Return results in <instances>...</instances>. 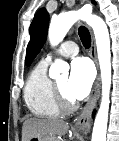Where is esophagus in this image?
Returning <instances> with one entry per match:
<instances>
[{
    "instance_id": "34e87169",
    "label": "esophagus",
    "mask_w": 119,
    "mask_h": 141,
    "mask_svg": "<svg viewBox=\"0 0 119 141\" xmlns=\"http://www.w3.org/2000/svg\"><path fill=\"white\" fill-rule=\"evenodd\" d=\"M91 48H90V57L93 59L98 73L94 85L92 87L90 96L88 98L87 103L85 104L84 108L82 109L80 115L74 120V128L84 134H87L91 128V114L95 107L96 100L100 90V73H99V65L97 60L96 54V44L94 36L91 33Z\"/></svg>"
}]
</instances>
